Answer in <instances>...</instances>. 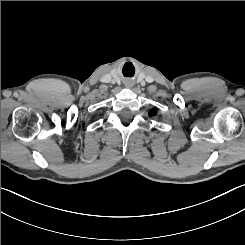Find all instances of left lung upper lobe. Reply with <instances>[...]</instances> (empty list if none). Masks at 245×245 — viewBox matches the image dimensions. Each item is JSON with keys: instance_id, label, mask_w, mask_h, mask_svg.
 Instances as JSON below:
<instances>
[{"instance_id": "left-lung-upper-lobe-1", "label": "left lung upper lobe", "mask_w": 245, "mask_h": 245, "mask_svg": "<svg viewBox=\"0 0 245 245\" xmlns=\"http://www.w3.org/2000/svg\"><path fill=\"white\" fill-rule=\"evenodd\" d=\"M157 113L156 110H152L149 114L152 116V115H155Z\"/></svg>"}]
</instances>
